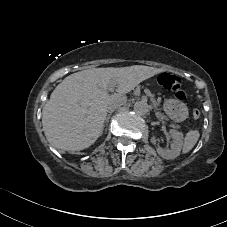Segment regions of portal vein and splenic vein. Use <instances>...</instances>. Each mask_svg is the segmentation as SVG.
I'll return each mask as SVG.
<instances>
[{"label": "portal vein and splenic vein", "mask_w": 227, "mask_h": 227, "mask_svg": "<svg viewBox=\"0 0 227 227\" xmlns=\"http://www.w3.org/2000/svg\"><path fill=\"white\" fill-rule=\"evenodd\" d=\"M114 88V86H112ZM145 93L148 95L150 92L149 90L146 88L145 90ZM150 96L152 95L151 93L149 94ZM152 100L154 99L153 97L151 98ZM152 103L154 104V106L156 107V102L153 100ZM160 118L163 116L161 113L158 115Z\"/></svg>", "instance_id": "1"}]
</instances>
